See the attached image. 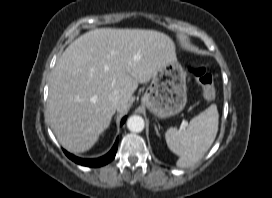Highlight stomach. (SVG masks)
I'll return each mask as SVG.
<instances>
[{
    "label": "stomach",
    "instance_id": "1",
    "mask_svg": "<svg viewBox=\"0 0 272 198\" xmlns=\"http://www.w3.org/2000/svg\"><path fill=\"white\" fill-rule=\"evenodd\" d=\"M187 102L186 72L177 60L162 65L142 97L156 117L165 119L180 113Z\"/></svg>",
    "mask_w": 272,
    "mask_h": 198
}]
</instances>
